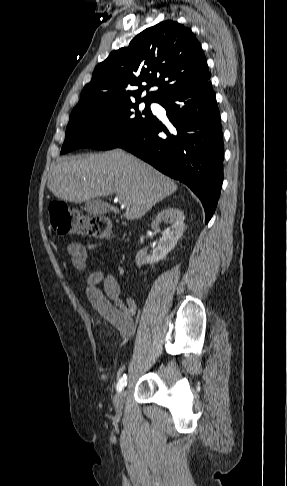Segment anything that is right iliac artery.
<instances>
[{"instance_id":"obj_1","label":"right iliac artery","mask_w":287,"mask_h":486,"mask_svg":"<svg viewBox=\"0 0 287 486\" xmlns=\"http://www.w3.org/2000/svg\"><path fill=\"white\" fill-rule=\"evenodd\" d=\"M127 384V376L123 375L117 383V391L120 392Z\"/></svg>"}]
</instances>
